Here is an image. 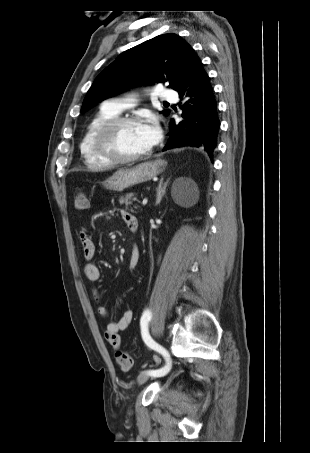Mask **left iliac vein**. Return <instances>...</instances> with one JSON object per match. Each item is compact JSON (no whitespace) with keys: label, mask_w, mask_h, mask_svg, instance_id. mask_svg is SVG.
Masks as SVG:
<instances>
[{"label":"left iliac vein","mask_w":310,"mask_h":453,"mask_svg":"<svg viewBox=\"0 0 310 453\" xmlns=\"http://www.w3.org/2000/svg\"><path fill=\"white\" fill-rule=\"evenodd\" d=\"M149 376L150 375L146 371L141 372L137 377V383L139 385L144 384L149 379Z\"/></svg>","instance_id":"obj_1"}]
</instances>
